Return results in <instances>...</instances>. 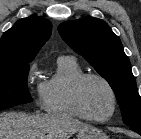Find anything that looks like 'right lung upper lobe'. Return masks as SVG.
<instances>
[{"label": "right lung upper lobe", "instance_id": "right-lung-upper-lobe-1", "mask_svg": "<svg viewBox=\"0 0 141 139\" xmlns=\"http://www.w3.org/2000/svg\"><path fill=\"white\" fill-rule=\"evenodd\" d=\"M51 31V22L42 17L30 16L17 21L0 39V65L29 64Z\"/></svg>", "mask_w": 141, "mask_h": 139}]
</instances>
